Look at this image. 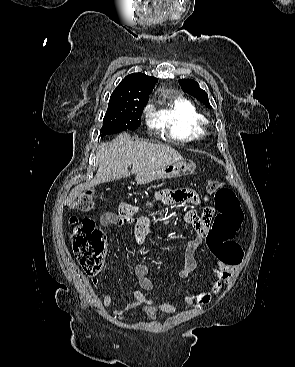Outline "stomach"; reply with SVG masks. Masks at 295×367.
<instances>
[{
	"instance_id": "0dacf381",
	"label": "stomach",
	"mask_w": 295,
	"mask_h": 367,
	"mask_svg": "<svg viewBox=\"0 0 295 367\" xmlns=\"http://www.w3.org/2000/svg\"><path fill=\"white\" fill-rule=\"evenodd\" d=\"M195 168L196 165L193 162L182 160L163 166L157 170L141 174L136 177V181L138 184H145L156 179L179 178L192 174Z\"/></svg>"
}]
</instances>
